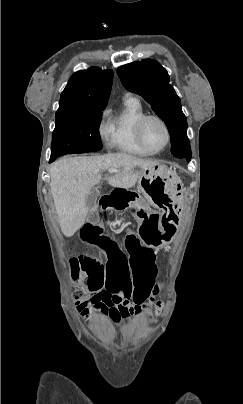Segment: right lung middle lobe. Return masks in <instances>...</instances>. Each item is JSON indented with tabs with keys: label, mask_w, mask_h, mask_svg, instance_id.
Masks as SVG:
<instances>
[{
	"label": "right lung middle lobe",
	"mask_w": 243,
	"mask_h": 404,
	"mask_svg": "<svg viewBox=\"0 0 243 404\" xmlns=\"http://www.w3.org/2000/svg\"><path fill=\"white\" fill-rule=\"evenodd\" d=\"M105 109H65L56 112V127L52 134L51 158L102 149L99 123Z\"/></svg>",
	"instance_id": "dd1d6c3e"
}]
</instances>
